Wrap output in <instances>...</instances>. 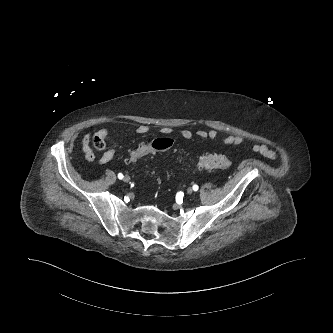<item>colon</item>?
<instances>
[{"mask_svg":"<svg viewBox=\"0 0 333 333\" xmlns=\"http://www.w3.org/2000/svg\"><path fill=\"white\" fill-rule=\"evenodd\" d=\"M173 139L169 137H159L150 142L139 144L130 151L126 161L128 163H136L141 158L161 150H167L173 146ZM92 144L97 150H104L106 142L100 136L92 137ZM230 166V160L223 154L209 153L201 156L197 162L199 169H226Z\"/></svg>","mask_w":333,"mask_h":333,"instance_id":"colon-1","label":"colon"}]
</instances>
